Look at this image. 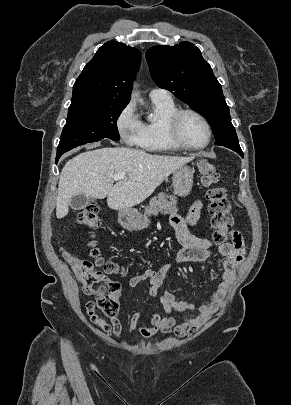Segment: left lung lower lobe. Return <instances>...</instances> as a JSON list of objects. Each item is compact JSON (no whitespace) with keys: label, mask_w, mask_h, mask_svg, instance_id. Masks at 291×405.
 <instances>
[{"label":"left lung lower lobe","mask_w":291,"mask_h":405,"mask_svg":"<svg viewBox=\"0 0 291 405\" xmlns=\"http://www.w3.org/2000/svg\"><path fill=\"white\" fill-rule=\"evenodd\" d=\"M234 151H236L238 154H240V155L243 157V153H242V150H241V149H236V150H234Z\"/></svg>","instance_id":"0a47b994"}]
</instances>
